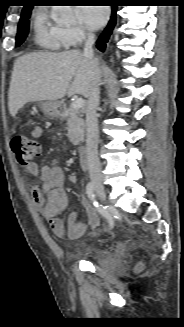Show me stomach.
<instances>
[{
  "label": "stomach",
  "instance_id": "stomach-1",
  "mask_svg": "<svg viewBox=\"0 0 184 327\" xmlns=\"http://www.w3.org/2000/svg\"><path fill=\"white\" fill-rule=\"evenodd\" d=\"M43 113L49 117H57L61 114L60 103L55 101H45L41 103Z\"/></svg>",
  "mask_w": 184,
  "mask_h": 327
}]
</instances>
